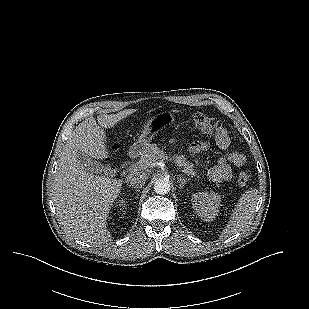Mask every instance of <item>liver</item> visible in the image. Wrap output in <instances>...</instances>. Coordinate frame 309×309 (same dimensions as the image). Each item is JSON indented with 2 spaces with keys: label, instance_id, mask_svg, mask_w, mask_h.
Returning <instances> with one entry per match:
<instances>
[{
  "label": "liver",
  "instance_id": "6515ba94",
  "mask_svg": "<svg viewBox=\"0 0 309 309\" xmlns=\"http://www.w3.org/2000/svg\"><path fill=\"white\" fill-rule=\"evenodd\" d=\"M127 109L117 114L93 117L80 123L67 140L60 155L53 184V202L61 224L75 238L90 244H105L112 235L106 220L113 202L118 197L122 180L94 175L77 160V152L95 159L108 157L104 128H112L134 113Z\"/></svg>",
  "mask_w": 309,
  "mask_h": 309
}]
</instances>
